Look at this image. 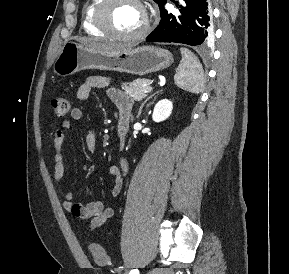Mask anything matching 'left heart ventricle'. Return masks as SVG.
<instances>
[{
  "instance_id": "obj_1",
  "label": "left heart ventricle",
  "mask_w": 289,
  "mask_h": 274,
  "mask_svg": "<svg viewBox=\"0 0 289 274\" xmlns=\"http://www.w3.org/2000/svg\"><path fill=\"white\" fill-rule=\"evenodd\" d=\"M111 27L122 34H133L145 24V12L136 3L122 1L114 4L109 12Z\"/></svg>"
}]
</instances>
